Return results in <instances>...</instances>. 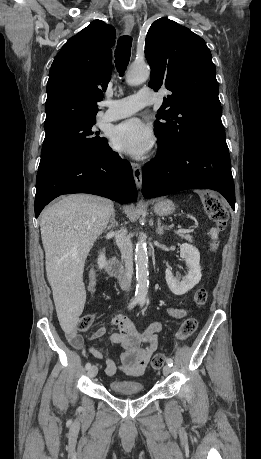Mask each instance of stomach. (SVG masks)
Here are the masks:
<instances>
[{"label":"stomach","instance_id":"1","mask_svg":"<svg viewBox=\"0 0 261 459\" xmlns=\"http://www.w3.org/2000/svg\"><path fill=\"white\" fill-rule=\"evenodd\" d=\"M175 210V205L171 200L164 199L155 203L154 211L159 216L172 214Z\"/></svg>","mask_w":261,"mask_h":459}]
</instances>
